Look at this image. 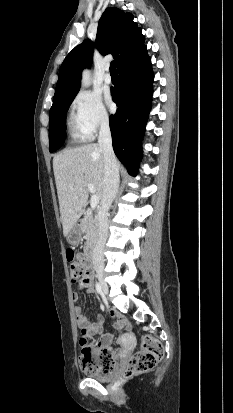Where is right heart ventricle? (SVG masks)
<instances>
[{
	"mask_svg": "<svg viewBox=\"0 0 233 413\" xmlns=\"http://www.w3.org/2000/svg\"><path fill=\"white\" fill-rule=\"evenodd\" d=\"M67 129L69 137L74 143L84 142L89 138L80 125L77 115L74 112H71L68 116Z\"/></svg>",
	"mask_w": 233,
	"mask_h": 413,
	"instance_id": "e07e8e85",
	"label": "right heart ventricle"
}]
</instances>
